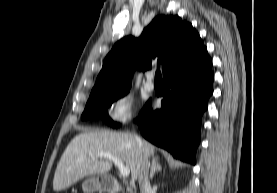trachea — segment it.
Returning <instances> with one entry per match:
<instances>
[{
  "mask_svg": "<svg viewBox=\"0 0 277 193\" xmlns=\"http://www.w3.org/2000/svg\"><path fill=\"white\" fill-rule=\"evenodd\" d=\"M155 81H162V75L160 72V68H158L157 72L155 73Z\"/></svg>",
  "mask_w": 277,
  "mask_h": 193,
  "instance_id": "1",
  "label": "trachea"
}]
</instances>
